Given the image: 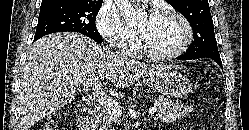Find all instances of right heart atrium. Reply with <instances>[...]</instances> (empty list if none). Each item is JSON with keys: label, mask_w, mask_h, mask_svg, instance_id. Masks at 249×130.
<instances>
[{"label": "right heart atrium", "mask_w": 249, "mask_h": 130, "mask_svg": "<svg viewBox=\"0 0 249 130\" xmlns=\"http://www.w3.org/2000/svg\"><path fill=\"white\" fill-rule=\"evenodd\" d=\"M99 34L114 48L127 54L133 53L138 45L134 30L109 7L102 6L95 19Z\"/></svg>", "instance_id": "right-heart-atrium-1"}]
</instances>
